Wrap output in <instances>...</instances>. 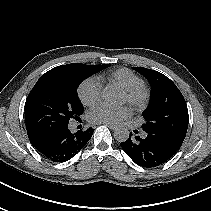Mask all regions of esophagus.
I'll return each instance as SVG.
<instances>
[{
    "label": "esophagus",
    "mask_w": 211,
    "mask_h": 211,
    "mask_svg": "<svg viewBox=\"0 0 211 211\" xmlns=\"http://www.w3.org/2000/svg\"><path fill=\"white\" fill-rule=\"evenodd\" d=\"M103 124L106 125L107 127H109L112 130H115L117 128V126L113 125V124H109V123H103Z\"/></svg>",
    "instance_id": "34e87169"
}]
</instances>
